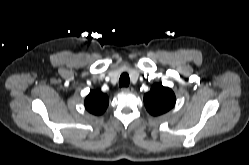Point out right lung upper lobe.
<instances>
[{
  "instance_id": "obj_1",
  "label": "right lung upper lobe",
  "mask_w": 249,
  "mask_h": 165,
  "mask_svg": "<svg viewBox=\"0 0 249 165\" xmlns=\"http://www.w3.org/2000/svg\"><path fill=\"white\" fill-rule=\"evenodd\" d=\"M108 96L92 90L85 99V108L94 115H101L108 106Z\"/></svg>"
}]
</instances>
